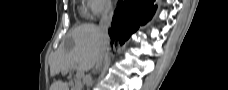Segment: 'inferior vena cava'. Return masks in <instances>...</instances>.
I'll return each mask as SVG.
<instances>
[{"label": "inferior vena cava", "instance_id": "inferior-vena-cava-1", "mask_svg": "<svg viewBox=\"0 0 228 90\" xmlns=\"http://www.w3.org/2000/svg\"><path fill=\"white\" fill-rule=\"evenodd\" d=\"M113 11L110 6L106 7L105 12L99 23V36L101 39V49L99 56L96 60V68H99L102 65L104 55L107 49V44L109 43L108 28L112 22ZM87 84H91V79L87 81Z\"/></svg>", "mask_w": 228, "mask_h": 90}]
</instances>
